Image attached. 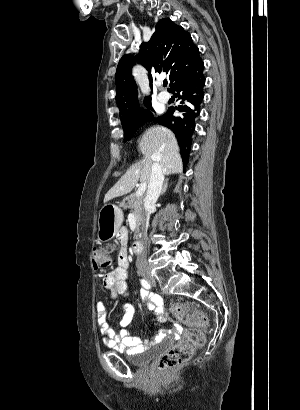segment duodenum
Listing matches in <instances>:
<instances>
[{"label": "duodenum", "mask_w": 300, "mask_h": 410, "mask_svg": "<svg viewBox=\"0 0 300 410\" xmlns=\"http://www.w3.org/2000/svg\"><path fill=\"white\" fill-rule=\"evenodd\" d=\"M142 249V242L140 240H136L132 244V250L134 253L138 254L140 253V250Z\"/></svg>", "instance_id": "duodenum-1"}]
</instances>
